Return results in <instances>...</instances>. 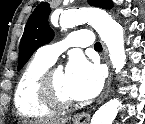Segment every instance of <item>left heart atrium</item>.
Segmentation results:
<instances>
[{
  "label": "left heart atrium",
  "mask_w": 145,
  "mask_h": 124,
  "mask_svg": "<svg viewBox=\"0 0 145 124\" xmlns=\"http://www.w3.org/2000/svg\"><path fill=\"white\" fill-rule=\"evenodd\" d=\"M65 72L68 92L75 100L93 98L102 88L103 77L98 65L82 56H73Z\"/></svg>",
  "instance_id": "1"
}]
</instances>
